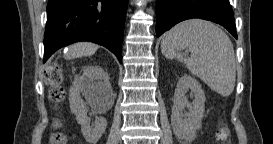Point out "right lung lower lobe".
Returning <instances> with one entry per match:
<instances>
[{
  "label": "right lung lower lobe",
  "instance_id": "right-lung-lower-lobe-1",
  "mask_svg": "<svg viewBox=\"0 0 273 144\" xmlns=\"http://www.w3.org/2000/svg\"><path fill=\"white\" fill-rule=\"evenodd\" d=\"M128 0H49L44 62L58 49L92 41L122 62L121 47Z\"/></svg>",
  "mask_w": 273,
  "mask_h": 144
}]
</instances>
